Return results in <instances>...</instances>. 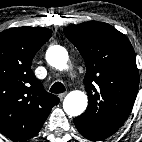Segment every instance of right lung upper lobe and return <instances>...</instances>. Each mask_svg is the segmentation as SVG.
<instances>
[{
    "instance_id": "right-lung-upper-lobe-1",
    "label": "right lung upper lobe",
    "mask_w": 142,
    "mask_h": 142,
    "mask_svg": "<svg viewBox=\"0 0 142 142\" xmlns=\"http://www.w3.org/2000/svg\"><path fill=\"white\" fill-rule=\"evenodd\" d=\"M52 31L18 27L0 33V131L15 141L34 137L59 98L44 90L31 70Z\"/></svg>"
}]
</instances>
